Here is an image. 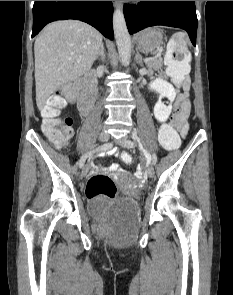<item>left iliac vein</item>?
Segmentation results:
<instances>
[{
    "label": "left iliac vein",
    "mask_w": 233,
    "mask_h": 295,
    "mask_svg": "<svg viewBox=\"0 0 233 295\" xmlns=\"http://www.w3.org/2000/svg\"><path fill=\"white\" fill-rule=\"evenodd\" d=\"M127 140H130V139H128L127 137H124V138L118 140V143H119L121 146H123V147H125V148H128V149L133 148L134 145H127V144L125 143ZM146 173H147V175H148L149 178H152V177L154 176V168H153L151 165H148V166H147Z\"/></svg>",
    "instance_id": "4c4485c4"
}]
</instances>
